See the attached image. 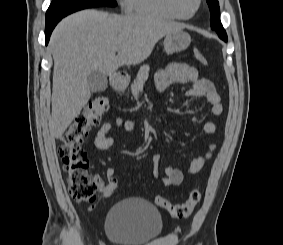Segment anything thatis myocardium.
I'll use <instances>...</instances> for the list:
<instances>
[{
	"label": "myocardium",
	"instance_id": "f54148a6",
	"mask_svg": "<svg viewBox=\"0 0 283 245\" xmlns=\"http://www.w3.org/2000/svg\"><path fill=\"white\" fill-rule=\"evenodd\" d=\"M202 0H195V6L189 12H184L180 5V0H168V6L170 10L179 18V19H190L196 15L201 7Z\"/></svg>",
	"mask_w": 283,
	"mask_h": 245
}]
</instances>
